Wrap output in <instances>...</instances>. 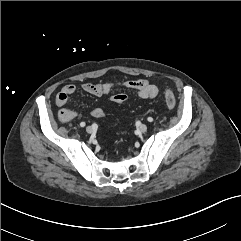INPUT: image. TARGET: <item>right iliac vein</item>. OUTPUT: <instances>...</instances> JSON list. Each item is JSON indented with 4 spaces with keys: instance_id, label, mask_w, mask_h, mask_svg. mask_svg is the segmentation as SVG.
Returning <instances> with one entry per match:
<instances>
[{
    "instance_id": "1",
    "label": "right iliac vein",
    "mask_w": 241,
    "mask_h": 241,
    "mask_svg": "<svg viewBox=\"0 0 241 241\" xmlns=\"http://www.w3.org/2000/svg\"><path fill=\"white\" fill-rule=\"evenodd\" d=\"M86 131H87V133H92L93 128L91 126H87Z\"/></svg>"
}]
</instances>
